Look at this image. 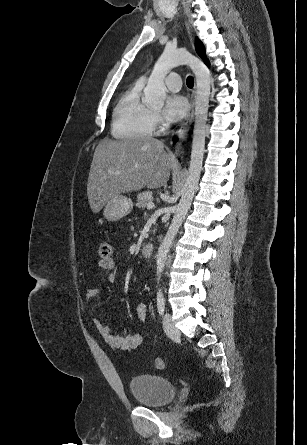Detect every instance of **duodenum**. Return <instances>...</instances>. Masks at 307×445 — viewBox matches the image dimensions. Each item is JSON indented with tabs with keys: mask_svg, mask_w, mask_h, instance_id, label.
Here are the masks:
<instances>
[{
	"mask_svg": "<svg viewBox=\"0 0 307 445\" xmlns=\"http://www.w3.org/2000/svg\"><path fill=\"white\" fill-rule=\"evenodd\" d=\"M154 251V244L152 242L145 243L142 246L141 252L145 257H150Z\"/></svg>",
	"mask_w": 307,
	"mask_h": 445,
	"instance_id": "duodenum-1",
	"label": "duodenum"
}]
</instances>
